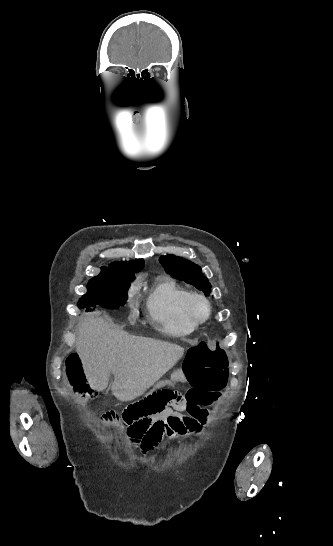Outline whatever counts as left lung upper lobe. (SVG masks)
I'll return each instance as SVG.
<instances>
[{"label": "left lung upper lobe", "mask_w": 333, "mask_h": 546, "mask_svg": "<svg viewBox=\"0 0 333 546\" xmlns=\"http://www.w3.org/2000/svg\"><path fill=\"white\" fill-rule=\"evenodd\" d=\"M160 262L163 264L165 271L171 276L192 284L202 290L205 295H210L211 285L203 275L201 267L197 264L174 255L161 256Z\"/></svg>", "instance_id": "1"}]
</instances>
